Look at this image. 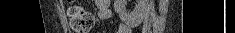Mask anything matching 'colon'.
I'll return each mask as SVG.
<instances>
[{"label":"colon","instance_id":"1","mask_svg":"<svg viewBox=\"0 0 235 33\" xmlns=\"http://www.w3.org/2000/svg\"><path fill=\"white\" fill-rule=\"evenodd\" d=\"M69 24L75 33H89L94 18L93 15L81 6H72L68 9Z\"/></svg>","mask_w":235,"mask_h":33}]
</instances>
